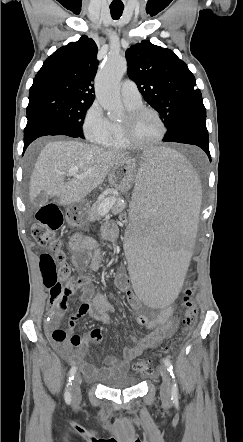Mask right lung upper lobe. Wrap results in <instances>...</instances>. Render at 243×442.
Segmentation results:
<instances>
[{
  "label": "right lung upper lobe",
  "mask_w": 243,
  "mask_h": 442,
  "mask_svg": "<svg viewBox=\"0 0 243 442\" xmlns=\"http://www.w3.org/2000/svg\"><path fill=\"white\" fill-rule=\"evenodd\" d=\"M97 45L87 36L56 50L34 78L29 97L58 93L93 103Z\"/></svg>",
  "instance_id": "cb5924a9"
}]
</instances>
